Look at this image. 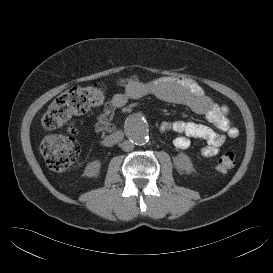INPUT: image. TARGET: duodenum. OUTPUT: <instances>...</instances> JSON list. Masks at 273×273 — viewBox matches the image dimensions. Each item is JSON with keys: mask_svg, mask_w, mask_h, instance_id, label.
<instances>
[{"mask_svg": "<svg viewBox=\"0 0 273 273\" xmlns=\"http://www.w3.org/2000/svg\"><path fill=\"white\" fill-rule=\"evenodd\" d=\"M122 138H123V132L117 131L106 136L102 140V144L106 147H110V146L118 144L122 140Z\"/></svg>", "mask_w": 273, "mask_h": 273, "instance_id": "obj_1", "label": "duodenum"}]
</instances>
